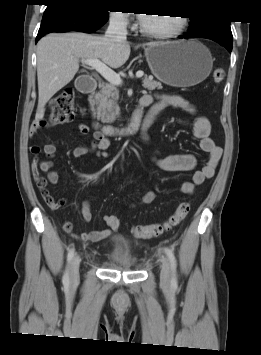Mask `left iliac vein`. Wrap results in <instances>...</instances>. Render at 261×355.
<instances>
[{
	"label": "left iliac vein",
	"instance_id": "4c4485c4",
	"mask_svg": "<svg viewBox=\"0 0 261 355\" xmlns=\"http://www.w3.org/2000/svg\"><path fill=\"white\" fill-rule=\"evenodd\" d=\"M170 263L168 258L163 257L162 265H161V272H160V281L161 284L164 286H168L170 284Z\"/></svg>",
	"mask_w": 261,
	"mask_h": 355
}]
</instances>
